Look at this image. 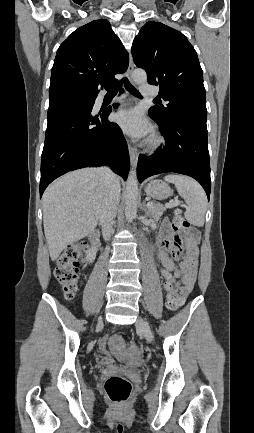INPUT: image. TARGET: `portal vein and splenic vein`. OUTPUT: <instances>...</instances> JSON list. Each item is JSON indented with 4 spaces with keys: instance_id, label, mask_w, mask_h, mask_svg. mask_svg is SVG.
Instances as JSON below:
<instances>
[{
    "instance_id": "1",
    "label": "portal vein and splenic vein",
    "mask_w": 254,
    "mask_h": 433,
    "mask_svg": "<svg viewBox=\"0 0 254 433\" xmlns=\"http://www.w3.org/2000/svg\"><path fill=\"white\" fill-rule=\"evenodd\" d=\"M179 204H180V202L176 200V201H174V202L168 204L167 206H168V207H173V206H176V205H179ZM152 205H153L152 202H148V203H147V207H151Z\"/></svg>"
}]
</instances>
